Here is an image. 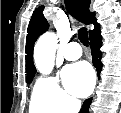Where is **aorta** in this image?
Returning <instances> with one entry per match:
<instances>
[{
    "label": "aorta",
    "mask_w": 121,
    "mask_h": 113,
    "mask_svg": "<svg viewBox=\"0 0 121 113\" xmlns=\"http://www.w3.org/2000/svg\"><path fill=\"white\" fill-rule=\"evenodd\" d=\"M57 44V36L53 32L43 34L35 44V65L43 75H49L54 68Z\"/></svg>",
    "instance_id": "1"
}]
</instances>
